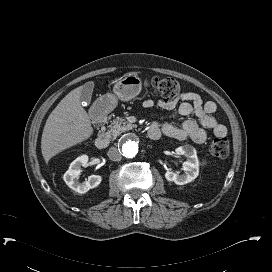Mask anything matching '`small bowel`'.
<instances>
[{"label":"small bowel","instance_id":"c3829d8e","mask_svg":"<svg viewBox=\"0 0 272 272\" xmlns=\"http://www.w3.org/2000/svg\"><path fill=\"white\" fill-rule=\"evenodd\" d=\"M154 105L155 102L152 99L143 102L145 108H152ZM157 105L167 110L176 109L178 115L186 117L180 127H175L170 122L163 120L152 122V125L157 126L165 136L177 140L191 139L202 144L207 140L209 132H212L216 137H225L227 134L226 126L219 123L214 117L215 103L204 102L196 93L184 92L171 102L159 100ZM191 116H195L198 122L189 118Z\"/></svg>","mask_w":272,"mask_h":272}]
</instances>
